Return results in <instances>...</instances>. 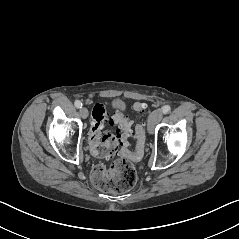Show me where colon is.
Returning a JSON list of instances; mask_svg holds the SVG:
<instances>
[{"label": "colon", "instance_id": "colon-1", "mask_svg": "<svg viewBox=\"0 0 239 239\" xmlns=\"http://www.w3.org/2000/svg\"><path fill=\"white\" fill-rule=\"evenodd\" d=\"M136 111L146 110L144 103L134 105ZM106 124L112 128L102 135ZM131 136V126L123 114L110 117L104 104H96L91 113L88 141L91 153L97 157L119 155L109 165H97L92 171L94 185L105 192L123 193L130 190L136 183L137 173L131 160L142 157L145 147V129L143 124L135 127L136 147L131 153L128 148V138Z\"/></svg>", "mask_w": 239, "mask_h": 239}]
</instances>
